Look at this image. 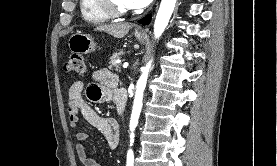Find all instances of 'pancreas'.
Masks as SVG:
<instances>
[{
  "instance_id": "cf45deb5",
  "label": "pancreas",
  "mask_w": 277,
  "mask_h": 166,
  "mask_svg": "<svg viewBox=\"0 0 277 166\" xmlns=\"http://www.w3.org/2000/svg\"><path fill=\"white\" fill-rule=\"evenodd\" d=\"M122 55H124L123 50H119L118 52L113 53V55L110 57L109 69L115 71L120 70V64L116 63V60L119 59Z\"/></svg>"
}]
</instances>
